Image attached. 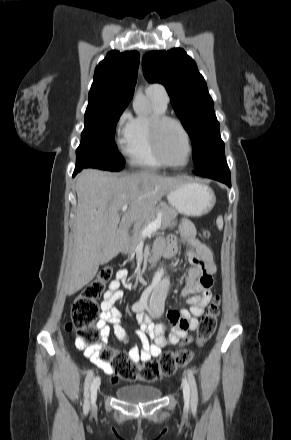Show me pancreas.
I'll use <instances>...</instances> for the list:
<instances>
[{"mask_svg":"<svg viewBox=\"0 0 291 440\" xmlns=\"http://www.w3.org/2000/svg\"><path fill=\"white\" fill-rule=\"evenodd\" d=\"M157 213H161L162 228L168 227L170 222L177 216V211L173 207L167 205L166 203H161L156 208V210L150 214L149 217H147L144 221L136 225L133 235L130 237L127 243L126 250L128 251V253L130 254L135 253L136 248L142 239V235H141L142 230L146 228V226L156 218Z\"/></svg>","mask_w":291,"mask_h":440,"instance_id":"1","label":"pancreas"}]
</instances>
